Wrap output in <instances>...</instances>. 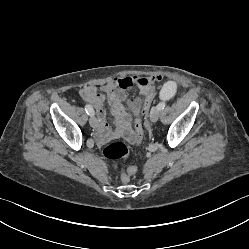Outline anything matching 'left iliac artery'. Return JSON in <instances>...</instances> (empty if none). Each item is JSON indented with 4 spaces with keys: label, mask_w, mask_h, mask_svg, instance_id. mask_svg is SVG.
<instances>
[{
    "label": "left iliac artery",
    "mask_w": 249,
    "mask_h": 249,
    "mask_svg": "<svg viewBox=\"0 0 249 249\" xmlns=\"http://www.w3.org/2000/svg\"><path fill=\"white\" fill-rule=\"evenodd\" d=\"M164 107H165V103H164V102H161V103H159V104L157 105V108H158L159 110L164 109Z\"/></svg>",
    "instance_id": "1"
}]
</instances>
